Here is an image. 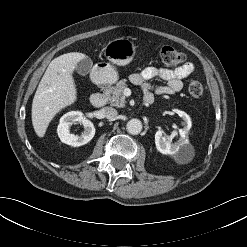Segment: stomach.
<instances>
[{"label": "stomach", "instance_id": "obj_1", "mask_svg": "<svg viewBox=\"0 0 247 247\" xmlns=\"http://www.w3.org/2000/svg\"><path fill=\"white\" fill-rule=\"evenodd\" d=\"M103 50L110 63L96 64L93 76L98 83L112 84L118 79V73L112 64L119 66L129 64L135 55V46L128 38L121 37L109 41Z\"/></svg>", "mask_w": 247, "mask_h": 247}]
</instances>
